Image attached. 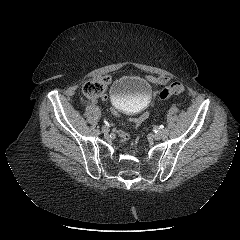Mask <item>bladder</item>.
I'll use <instances>...</instances> for the list:
<instances>
[{
  "mask_svg": "<svg viewBox=\"0 0 240 240\" xmlns=\"http://www.w3.org/2000/svg\"><path fill=\"white\" fill-rule=\"evenodd\" d=\"M151 94L148 81L137 76H122L110 87L114 106L126 114H134L146 107Z\"/></svg>",
  "mask_w": 240,
  "mask_h": 240,
  "instance_id": "1",
  "label": "bladder"
}]
</instances>
